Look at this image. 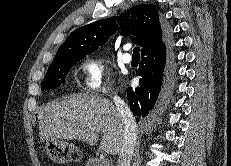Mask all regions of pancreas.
Segmentation results:
<instances>
[{"mask_svg": "<svg viewBox=\"0 0 231 166\" xmlns=\"http://www.w3.org/2000/svg\"><path fill=\"white\" fill-rule=\"evenodd\" d=\"M85 166H109L104 160H101L98 157H90L87 161Z\"/></svg>", "mask_w": 231, "mask_h": 166, "instance_id": "cf45deb5", "label": "pancreas"}]
</instances>
